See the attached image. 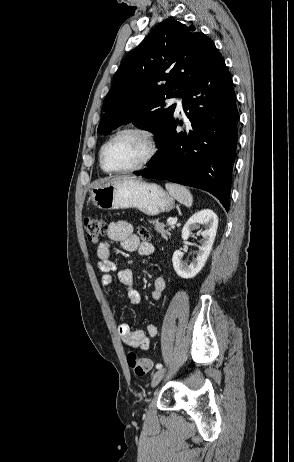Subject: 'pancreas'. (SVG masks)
<instances>
[{"mask_svg":"<svg viewBox=\"0 0 294 462\" xmlns=\"http://www.w3.org/2000/svg\"><path fill=\"white\" fill-rule=\"evenodd\" d=\"M151 223L154 225L155 230L162 235V237L167 238V236H171V228L165 229V225L158 222L157 220H152Z\"/></svg>","mask_w":294,"mask_h":462,"instance_id":"cf45deb5","label":"pancreas"}]
</instances>
